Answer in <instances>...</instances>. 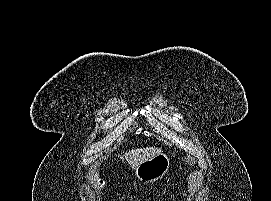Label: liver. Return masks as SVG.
Segmentation results:
<instances>
[{"label":"liver","mask_w":271,"mask_h":201,"mask_svg":"<svg viewBox=\"0 0 271 201\" xmlns=\"http://www.w3.org/2000/svg\"><path fill=\"white\" fill-rule=\"evenodd\" d=\"M160 153H161L160 148L155 147L137 148L132 149L129 152H125L124 158L129 163V165L133 169H135L142 162L150 160Z\"/></svg>","instance_id":"liver-1"}]
</instances>
